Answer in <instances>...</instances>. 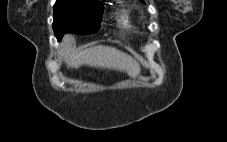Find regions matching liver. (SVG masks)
I'll use <instances>...</instances> for the list:
<instances>
[{
  "label": "liver",
  "instance_id": "1",
  "mask_svg": "<svg viewBox=\"0 0 227 142\" xmlns=\"http://www.w3.org/2000/svg\"><path fill=\"white\" fill-rule=\"evenodd\" d=\"M74 38L66 35L61 44V57L67 61L68 68H79L82 65L102 69L125 71L133 78L140 73L139 64L129 55L110 46H94L80 52H73Z\"/></svg>",
  "mask_w": 227,
  "mask_h": 142
}]
</instances>
